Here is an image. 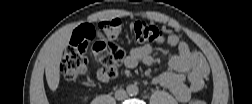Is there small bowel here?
Here are the masks:
<instances>
[{"label": "small bowel", "instance_id": "c3829d8e", "mask_svg": "<svg viewBox=\"0 0 252 104\" xmlns=\"http://www.w3.org/2000/svg\"><path fill=\"white\" fill-rule=\"evenodd\" d=\"M160 43L175 48L177 53L169 59L171 70L153 78L152 84L167 88L177 100L187 102L192 93L202 89L205 80L209 77L208 64L199 52L190 50L187 43L175 34H169L161 39ZM153 61V48L150 45L135 47L123 58V64L130 69L135 68L139 63L151 65ZM94 76L103 84L111 80L103 66Z\"/></svg>", "mask_w": 252, "mask_h": 104}]
</instances>
